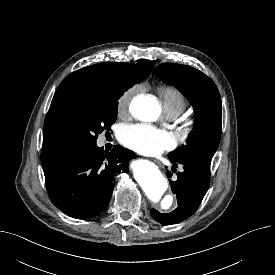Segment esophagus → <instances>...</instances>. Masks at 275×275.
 Listing matches in <instances>:
<instances>
[{"mask_svg":"<svg viewBox=\"0 0 275 275\" xmlns=\"http://www.w3.org/2000/svg\"><path fill=\"white\" fill-rule=\"evenodd\" d=\"M154 162H155L157 165L161 166V162H160V161L154 160Z\"/></svg>","mask_w":275,"mask_h":275,"instance_id":"esophagus-1","label":"esophagus"}]
</instances>
